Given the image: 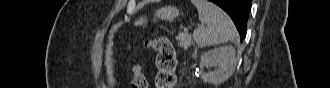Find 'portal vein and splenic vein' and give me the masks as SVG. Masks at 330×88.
I'll list each match as a JSON object with an SVG mask.
<instances>
[{
    "label": "portal vein and splenic vein",
    "mask_w": 330,
    "mask_h": 88,
    "mask_svg": "<svg viewBox=\"0 0 330 88\" xmlns=\"http://www.w3.org/2000/svg\"><path fill=\"white\" fill-rule=\"evenodd\" d=\"M184 32H186V33L188 32V28L187 27L184 28Z\"/></svg>",
    "instance_id": "1"
}]
</instances>
